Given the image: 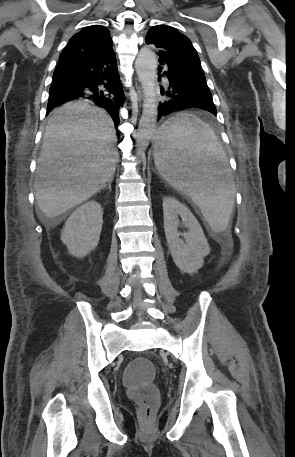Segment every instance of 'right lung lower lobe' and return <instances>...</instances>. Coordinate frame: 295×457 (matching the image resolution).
I'll return each instance as SVG.
<instances>
[{
  "label": "right lung lower lobe",
  "instance_id": "right-lung-lower-lobe-1",
  "mask_svg": "<svg viewBox=\"0 0 295 457\" xmlns=\"http://www.w3.org/2000/svg\"><path fill=\"white\" fill-rule=\"evenodd\" d=\"M76 98L96 102L108 111L115 126H118V112L125 97L113 49L97 58L57 65L50 87L47 114L58 104Z\"/></svg>",
  "mask_w": 295,
  "mask_h": 457
}]
</instances>
